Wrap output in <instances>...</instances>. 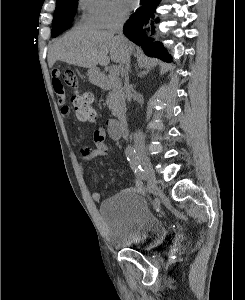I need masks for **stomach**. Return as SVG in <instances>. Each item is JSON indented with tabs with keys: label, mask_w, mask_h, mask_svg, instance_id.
Listing matches in <instances>:
<instances>
[{
	"label": "stomach",
	"mask_w": 245,
	"mask_h": 300,
	"mask_svg": "<svg viewBox=\"0 0 245 300\" xmlns=\"http://www.w3.org/2000/svg\"><path fill=\"white\" fill-rule=\"evenodd\" d=\"M98 70L96 68H92L88 71V76L91 81H95L97 79Z\"/></svg>",
	"instance_id": "stomach-1"
}]
</instances>
